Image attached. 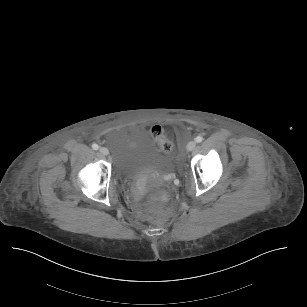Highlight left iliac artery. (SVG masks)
Wrapping results in <instances>:
<instances>
[{"label":"left iliac artery","mask_w":307,"mask_h":307,"mask_svg":"<svg viewBox=\"0 0 307 307\" xmlns=\"http://www.w3.org/2000/svg\"><path fill=\"white\" fill-rule=\"evenodd\" d=\"M195 141H196L197 143H200V142L203 141V137H202V136H197V137L195 138Z\"/></svg>","instance_id":"44dca946"}]
</instances>
